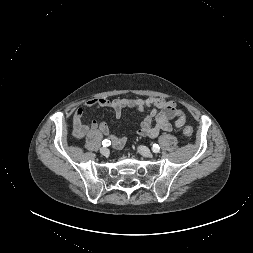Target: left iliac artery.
Wrapping results in <instances>:
<instances>
[{
    "label": "left iliac artery",
    "mask_w": 253,
    "mask_h": 253,
    "mask_svg": "<svg viewBox=\"0 0 253 253\" xmlns=\"http://www.w3.org/2000/svg\"><path fill=\"white\" fill-rule=\"evenodd\" d=\"M152 150H153V152H155V153L159 152V150H160L159 145H158V144H154L153 147H152Z\"/></svg>",
    "instance_id": "44dca946"
}]
</instances>
